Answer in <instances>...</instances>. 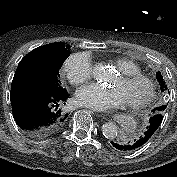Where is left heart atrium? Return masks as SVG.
<instances>
[{
    "label": "left heart atrium",
    "mask_w": 177,
    "mask_h": 177,
    "mask_svg": "<svg viewBox=\"0 0 177 177\" xmlns=\"http://www.w3.org/2000/svg\"><path fill=\"white\" fill-rule=\"evenodd\" d=\"M76 100L80 105L95 110H108L125 103L118 89L107 88L98 84H89L78 89Z\"/></svg>",
    "instance_id": "39dd6f15"
}]
</instances>
